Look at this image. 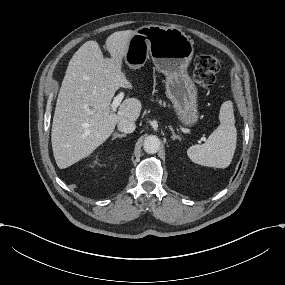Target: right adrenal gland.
I'll use <instances>...</instances> for the list:
<instances>
[{
	"instance_id": "1",
	"label": "right adrenal gland",
	"mask_w": 285,
	"mask_h": 285,
	"mask_svg": "<svg viewBox=\"0 0 285 285\" xmlns=\"http://www.w3.org/2000/svg\"><path fill=\"white\" fill-rule=\"evenodd\" d=\"M122 138V137H126V134H118V133H113V137L112 140L116 139V138Z\"/></svg>"
}]
</instances>
